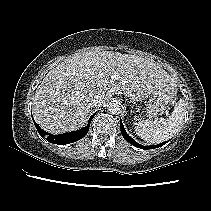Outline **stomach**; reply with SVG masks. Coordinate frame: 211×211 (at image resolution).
<instances>
[{
	"label": "stomach",
	"instance_id": "obj_1",
	"mask_svg": "<svg viewBox=\"0 0 211 211\" xmlns=\"http://www.w3.org/2000/svg\"><path fill=\"white\" fill-rule=\"evenodd\" d=\"M177 88L174 83L153 90L152 92L134 91L129 97L133 101H142L148 98L145 103L144 112L148 117H156L162 113L176 96ZM151 95V96H150Z\"/></svg>",
	"mask_w": 211,
	"mask_h": 211
}]
</instances>
